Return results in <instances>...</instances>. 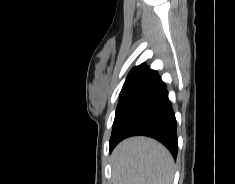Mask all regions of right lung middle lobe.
Returning a JSON list of instances; mask_svg holds the SVG:
<instances>
[{
	"label": "right lung middle lobe",
	"mask_w": 235,
	"mask_h": 184,
	"mask_svg": "<svg viewBox=\"0 0 235 184\" xmlns=\"http://www.w3.org/2000/svg\"><path fill=\"white\" fill-rule=\"evenodd\" d=\"M123 93H124V92H123V91H121L119 101H120V99H121V97H122Z\"/></svg>",
	"instance_id": "1"
}]
</instances>
